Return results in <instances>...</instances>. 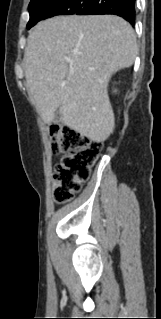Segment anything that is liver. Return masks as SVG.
Returning <instances> with one entry per match:
<instances>
[{"instance_id":"6515ba94","label":"liver","mask_w":161,"mask_h":319,"mask_svg":"<svg viewBox=\"0 0 161 319\" xmlns=\"http://www.w3.org/2000/svg\"><path fill=\"white\" fill-rule=\"evenodd\" d=\"M137 55L131 25L115 15L57 16L39 22L25 49L27 87L45 123L59 122L95 142L114 128L107 87ZM67 59L72 60L68 62Z\"/></svg>"}]
</instances>
